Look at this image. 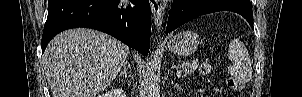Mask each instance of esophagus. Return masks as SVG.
Wrapping results in <instances>:
<instances>
[{
	"label": "esophagus",
	"mask_w": 302,
	"mask_h": 97,
	"mask_svg": "<svg viewBox=\"0 0 302 97\" xmlns=\"http://www.w3.org/2000/svg\"><path fill=\"white\" fill-rule=\"evenodd\" d=\"M149 2L153 14L154 25L158 31L163 22L164 6L160 0H149Z\"/></svg>",
	"instance_id": "1"
}]
</instances>
